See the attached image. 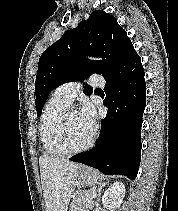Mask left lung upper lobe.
I'll return each instance as SVG.
<instances>
[{"label": "left lung upper lobe", "mask_w": 178, "mask_h": 211, "mask_svg": "<svg viewBox=\"0 0 178 211\" xmlns=\"http://www.w3.org/2000/svg\"><path fill=\"white\" fill-rule=\"evenodd\" d=\"M132 48L125 30L114 16L94 11L87 21L67 31L41 55L35 81L37 115L40 116L46 98L54 88L83 80L93 73L105 77ZM86 55L103 60H88ZM85 91L91 93L89 87Z\"/></svg>", "instance_id": "left-lung-upper-lobe-1"}]
</instances>
